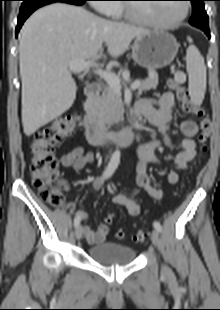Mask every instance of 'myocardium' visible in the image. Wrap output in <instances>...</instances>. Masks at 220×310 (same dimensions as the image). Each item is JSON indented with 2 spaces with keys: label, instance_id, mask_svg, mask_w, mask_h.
I'll list each match as a JSON object with an SVG mask.
<instances>
[{
  "label": "myocardium",
  "instance_id": "f54148a6",
  "mask_svg": "<svg viewBox=\"0 0 220 310\" xmlns=\"http://www.w3.org/2000/svg\"><path fill=\"white\" fill-rule=\"evenodd\" d=\"M123 10H124L126 17L135 23L154 27V28H159V29H169V28H173L179 25L181 22H183L186 19L189 13V4L187 2H183L182 13L177 18L169 22H160V21H157L151 18L139 16L136 14L134 10V6L131 4H125L123 6Z\"/></svg>",
  "mask_w": 220,
  "mask_h": 310
}]
</instances>
